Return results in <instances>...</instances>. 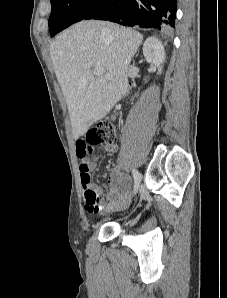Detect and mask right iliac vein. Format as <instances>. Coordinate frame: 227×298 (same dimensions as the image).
<instances>
[{
  "mask_svg": "<svg viewBox=\"0 0 227 298\" xmlns=\"http://www.w3.org/2000/svg\"><path fill=\"white\" fill-rule=\"evenodd\" d=\"M130 203H131V199L130 198L119 200V201H116V202H113V203L109 204L106 207L105 211L106 212L122 211V210L128 208V206L130 205Z\"/></svg>",
  "mask_w": 227,
  "mask_h": 298,
  "instance_id": "1",
  "label": "right iliac vein"
}]
</instances>
